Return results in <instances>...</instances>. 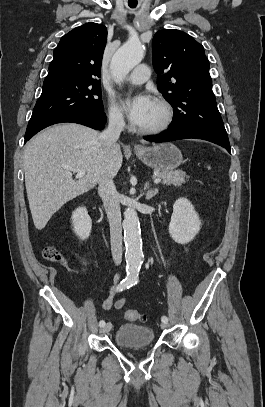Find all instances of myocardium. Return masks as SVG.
<instances>
[{"label": "myocardium", "mask_w": 265, "mask_h": 407, "mask_svg": "<svg viewBox=\"0 0 265 407\" xmlns=\"http://www.w3.org/2000/svg\"><path fill=\"white\" fill-rule=\"evenodd\" d=\"M162 109L163 116L161 121L150 128H138L137 131L143 135H154L165 131L174 119V109L169 101L163 97H156L154 100Z\"/></svg>", "instance_id": "obj_1"}]
</instances>
